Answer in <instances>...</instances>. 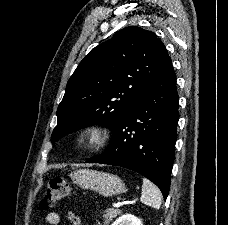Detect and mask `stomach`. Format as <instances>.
I'll return each instance as SVG.
<instances>
[{
  "label": "stomach",
  "instance_id": "1",
  "mask_svg": "<svg viewBox=\"0 0 228 225\" xmlns=\"http://www.w3.org/2000/svg\"><path fill=\"white\" fill-rule=\"evenodd\" d=\"M72 181L81 189H90L103 197H114L125 193V185L117 175L103 173V171H90V169H79L74 171Z\"/></svg>",
  "mask_w": 228,
  "mask_h": 225
}]
</instances>
